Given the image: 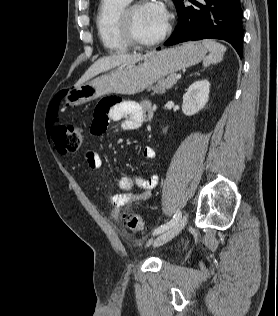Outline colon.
I'll return each mask as SVG.
<instances>
[{
    "instance_id": "5ec220e1",
    "label": "colon",
    "mask_w": 278,
    "mask_h": 316,
    "mask_svg": "<svg viewBox=\"0 0 278 316\" xmlns=\"http://www.w3.org/2000/svg\"><path fill=\"white\" fill-rule=\"evenodd\" d=\"M50 136L57 151L64 155L74 153L81 147L84 133L80 125L70 124L52 128ZM124 221L127 228L133 232H139L144 229V220L138 213L127 212L124 215Z\"/></svg>"
}]
</instances>
